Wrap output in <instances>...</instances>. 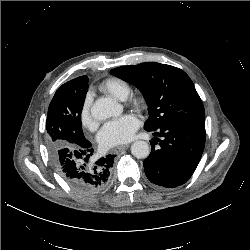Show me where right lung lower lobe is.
<instances>
[{
	"mask_svg": "<svg viewBox=\"0 0 250 250\" xmlns=\"http://www.w3.org/2000/svg\"><path fill=\"white\" fill-rule=\"evenodd\" d=\"M93 148L86 140L74 148H61L50 153L58 174L80 196L92 197L108 185L115 155L93 161Z\"/></svg>",
	"mask_w": 250,
	"mask_h": 250,
	"instance_id": "obj_1",
	"label": "right lung lower lobe"
}]
</instances>
